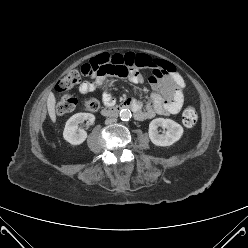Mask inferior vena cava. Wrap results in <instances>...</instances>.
Wrapping results in <instances>:
<instances>
[{"mask_svg": "<svg viewBox=\"0 0 248 248\" xmlns=\"http://www.w3.org/2000/svg\"><path fill=\"white\" fill-rule=\"evenodd\" d=\"M116 121H117L116 118H107V119L105 120V123H106L107 125H109V124L115 123Z\"/></svg>", "mask_w": 248, "mask_h": 248, "instance_id": "obj_1", "label": "inferior vena cava"}]
</instances>
